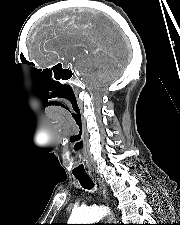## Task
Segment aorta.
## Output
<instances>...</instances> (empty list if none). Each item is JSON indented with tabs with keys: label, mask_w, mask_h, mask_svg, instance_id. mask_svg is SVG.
<instances>
[{
	"label": "aorta",
	"mask_w": 180,
	"mask_h": 225,
	"mask_svg": "<svg viewBox=\"0 0 180 225\" xmlns=\"http://www.w3.org/2000/svg\"><path fill=\"white\" fill-rule=\"evenodd\" d=\"M106 210L102 207L92 206L86 208H76L72 211L69 224H94L104 215Z\"/></svg>",
	"instance_id": "1"
}]
</instances>
